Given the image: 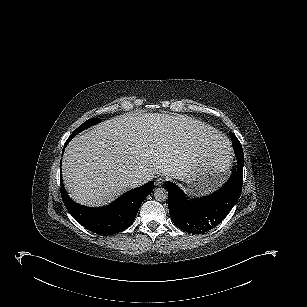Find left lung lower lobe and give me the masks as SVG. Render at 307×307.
Instances as JSON below:
<instances>
[{"label":"left lung lower lobe","mask_w":307,"mask_h":307,"mask_svg":"<svg viewBox=\"0 0 307 307\" xmlns=\"http://www.w3.org/2000/svg\"><path fill=\"white\" fill-rule=\"evenodd\" d=\"M236 174L211 195L188 201L182 190L167 182L169 214L181 230L202 234L215 228L229 214L242 191L244 158H238Z\"/></svg>","instance_id":"left-lung-lower-lobe-1"}]
</instances>
